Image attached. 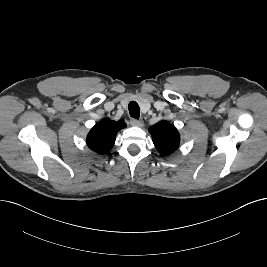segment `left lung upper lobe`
<instances>
[{
	"label": "left lung upper lobe",
	"instance_id": "1",
	"mask_svg": "<svg viewBox=\"0 0 267 267\" xmlns=\"http://www.w3.org/2000/svg\"><path fill=\"white\" fill-rule=\"evenodd\" d=\"M149 132L156 149L162 156H168L178 148L180 135L172 124L161 121L150 127Z\"/></svg>",
	"mask_w": 267,
	"mask_h": 267
}]
</instances>
